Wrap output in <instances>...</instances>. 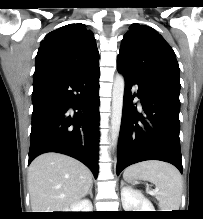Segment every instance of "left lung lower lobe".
Masks as SVG:
<instances>
[{
	"mask_svg": "<svg viewBox=\"0 0 203 219\" xmlns=\"http://www.w3.org/2000/svg\"><path fill=\"white\" fill-rule=\"evenodd\" d=\"M117 69L125 78L117 175L127 166L145 160L169 162L182 173L179 89L139 78L119 66ZM135 84L138 91L132 95ZM135 96L141 99L142 113L133 105Z\"/></svg>",
	"mask_w": 203,
	"mask_h": 219,
	"instance_id": "0a47b994",
	"label": "left lung lower lobe"
}]
</instances>
